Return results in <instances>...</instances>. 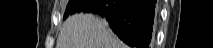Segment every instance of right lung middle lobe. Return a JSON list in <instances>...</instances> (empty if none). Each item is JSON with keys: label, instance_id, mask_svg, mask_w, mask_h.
<instances>
[{"label": "right lung middle lobe", "instance_id": "1", "mask_svg": "<svg viewBox=\"0 0 213 48\" xmlns=\"http://www.w3.org/2000/svg\"><path fill=\"white\" fill-rule=\"evenodd\" d=\"M88 1L89 0H69L64 13V19L71 14L81 12Z\"/></svg>", "mask_w": 213, "mask_h": 48}]
</instances>
